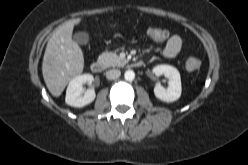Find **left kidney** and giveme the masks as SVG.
<instances>
[{
	"label": "left kidney",
	"instance_id": "obj_1",
	"mask_svg": "<svg viewBox=\"0 0 248 165\" xmlns=\"http://www.w3.org/2000/svg\"><path fill=\"white\" fill-rule=\"evenodd\" d=\"M156 75H165L168 78V87L157 84L154 88L155 96L164 102H174L181 96V78L179 71L170 65H157L153 68Z\"/></svg>",
	"mask_w": 248,
	"mask_h": 165
}]
</instances>
